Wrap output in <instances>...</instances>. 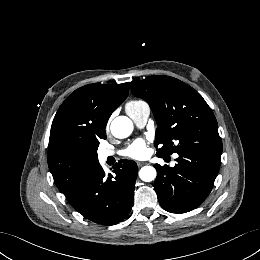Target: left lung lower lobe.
Segmentation results:
<instances>
[{
	"instance_id": "obj_1",
	"label": "left lung lower lobe",
	"mask_w": 260,
	"mask_h": 260,
	"mask_svg": "<svg viewBox=\"0 0 260 260\" xmlns=\"http://www.w3.org/2000/svg\"><path fill=\"white\" fill-rule=\"evenodd\" d=\"M178 155L173 168L155 164L154 189L160 205L171 213L197 208L209 195L220 168L221 152L188 150Z\"/></svg>"
}]
</instances>
